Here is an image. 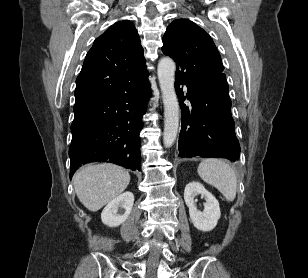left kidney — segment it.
<instances>
[{"label": "left kidney", "instance_id": "obj_1", "mask_svg": "<svg viewBox=\"0 0 308 278\" xmlns=\"http://www.w3.org/2000/svg\"><path fill=\"white\" fill-rule=\"evenodd\" d=\"M199 194L206 200L203 211H199L195 206L194 198ZM184 200L189 208L191 221L198 230L208 232L216 227L221 215L219 202L201 183L187 184L184 190Z\"/></svg>", "mask_w": 308, "mask_h": 278}]
</instances>
